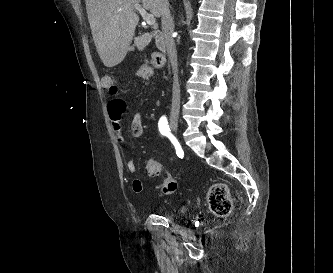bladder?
<instances>
[{
	"label": "bladder",
	"instance_id": "obj_1",
	"mask_svg": "<svg viewBox=\"0 0 333 273\" xmlns=\"http://www.w3.org/2000/svg\"><path fill=\"white\" fill-rule=\"evenodd\" d=\"M186 211H187V206L186 205H180L179 206V208H178V212L180 213V214H184V213H186ZM170 218H175V216L174 215H170L169 216Z\"/></svg>",
	"mask_w": 333,
	"mask_h": 273
}]
</instances>
